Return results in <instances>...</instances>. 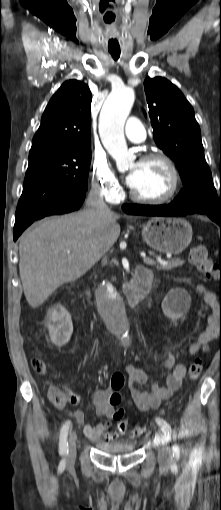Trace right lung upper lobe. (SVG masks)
I'll return each mask as SVG.
<instances>
[{"mask_svg":"<svg viewBox=\"0 0 221 510\" xmlns=\"http://www.w3.org/2000/svg\"><path fill=\"white\" fill-rule=\"evenodd\" d=\"M91 100V92L85 83L77 80L64 82L42 115L29 156L90 145Z\"/></svg>","mask_w":221,"mask_h":510,"instance_id":"right-lung-upper-lobe-1","label":"right lung upper lobe"}]
</instances>
